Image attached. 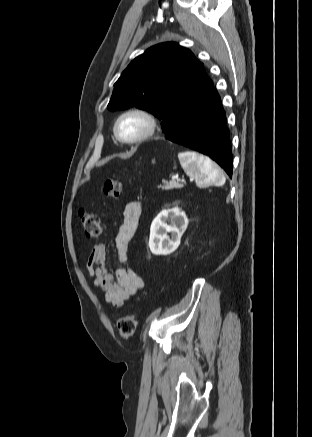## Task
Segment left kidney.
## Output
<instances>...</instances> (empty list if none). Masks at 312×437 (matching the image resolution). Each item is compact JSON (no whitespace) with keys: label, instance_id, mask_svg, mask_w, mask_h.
<instances>
[{"label":"left kidney","instance_id":"5707ae66","mask_svg":"<svg viewBox=\"0 0 312 437\" xmlns=\"http://www.w3.org/2000/svg\"><path fill=\"white\" fill-rule=\"evenodd\" d=\"M188 226L184 211L175 207L162 210L150 227L149 248L154 255H169L180 245L181 237ZM171 233V237L168 236Z\"/></svg>","mask_w":312,"mask_h":437}]
</instances>
